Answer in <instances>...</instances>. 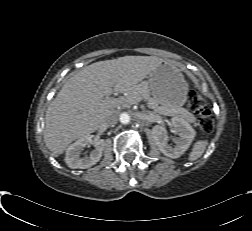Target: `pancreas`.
Returning a JSON list of instances; mask_svg holds the SVG:
<instances>
[{"instance_id":"pancreas-1","label":"pancreas","mask_w":252,"mask_h":231,"mask_svg":"<svg viewBox=\"0 0 252 231\" xmlns=\"http://www.w3.org/2000/svg\"><path fill=\"white\" fill-rule=\"evenodd\" d=\"M136 96L145 99L148 106L154 109V112L156 113L181 118L187 122L196 124L195 116L184 108H163L159 106L155 100L150 97L148 90L144 87H139L135 93H131L127 97L123 98L121 102L122 105L127 107L131 103H134L136 101Z\"/></svg>"}]
</instances>
